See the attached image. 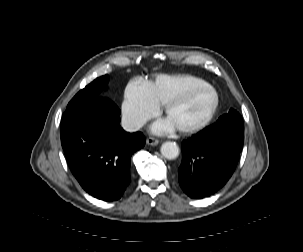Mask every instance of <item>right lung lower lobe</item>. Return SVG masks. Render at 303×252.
I'll list each match as a JSON object with an SVG mask.
<instances>
[{"label":"right lung lower lobe","instance_id":"98d812e1","mask_svg":"<svg viewBox=\"0 0 303 252\" xmlns=\"http://www.w3.org/2000/svg\"><path fill=\"white\" fill-rule=\"evenodd\" d=\"M120 110L99 98L66 110L61 143L71 172L82 188L104 201L119 199L130 184V158L145 145L141 132L120 126Z\"/></svg>","mask_w":303,"mask_h":252}]
</instances>
